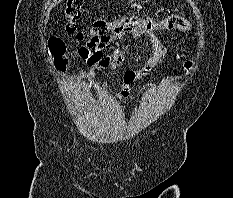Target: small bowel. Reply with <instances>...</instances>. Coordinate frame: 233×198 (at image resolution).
<instances>
[{
    "label": "small bowel",
    "mask_w": 233,
    "mask_h": 198,
    "mask_svg": "<svg viewBox=\"0 0 233 198\" xmlns=\"http://www.w3.org/2000/svg\"><path fill=\"white\" fill-rule=\"evenodd\" d=\"M111 34L99 40L93 47H81L79 54L87 60L91 67L90 75H93L95 70L119 71L122 74L124 87L114 94V98L119 101L128 99L132 95L133 84L147 75L151 70L158 66L167 55V48L162 44L158 36L152 33H145L139 26L127 28L119 25L116 21L112 22ZM129 36L132 39H138L146 36L152 46V55L146 63L139 69H133L129 66V62L124 53L119 49H114L107 53L112 48V44L116 40H122Z\"/></svg>",
    "instance_id": "obj_1"
}]
</instances>
